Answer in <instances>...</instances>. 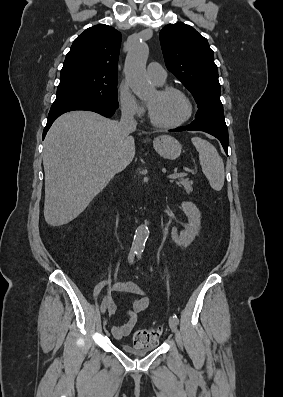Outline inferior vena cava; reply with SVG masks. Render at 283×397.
Masks as SVG:
<instances>
[{"mask_svg":"<svg viewBox=\"0 0 283 397\" xmlns=\"http://www.w3.org/2000/svg\"><path fill=\"white\" fill-rule=\"evenodd\" d=\"M122 115L119 122V127L127 137L132 131L136 129L137 122L134 119V112L129 107H122Z\"/></svg>","mask_w":283,"mask_h":397,"instance_id":"1","label":"inferior vena cava"}]
</instances>
